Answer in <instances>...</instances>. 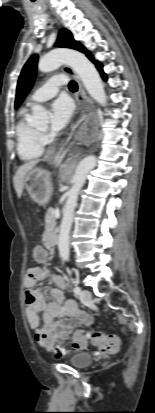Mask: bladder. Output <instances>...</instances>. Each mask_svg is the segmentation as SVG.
Here are the masks:
<instances>
[{"label": "bladder", "instance_id": "31cf9c89", "mask_svg": "<svg viewBox=\"0 0 155 413\" xmlns=\"http://www.w3.org/2000/svg\"><path fill=\"white\" fill-rule=\"evenodd\" d=\"M69 363L74 368L84 369L93 363V357L87 353H79L72 356Z\"/></svg>", "mask_w": 155, "mask_h": 413}]
</instances>
